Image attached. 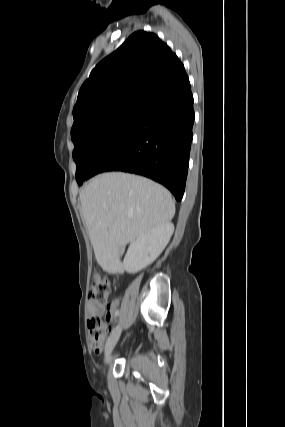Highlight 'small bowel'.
Returning a JSON list of instances; mask_svg holds the SVG:
<instances>
[{"instance_id":"obj_1","label":"small bowel","mask_w":285,"mask_h":427,"mask_svg":"<svg viewBox=\"0 0 285 427\" xmlns=\"http://www.w3.org/2000/svg\"><path fill=\"white\" fill-rule=\"evenodd\" d=\"M118 307H119V301L118 300L111 301L107 307H105L101 303H97L95 301H90L88 304V315L91 318L92 317H101L105 314V312H107V319L112 320L115 312L118 309Z\"/></svg>"}]
</instances>
